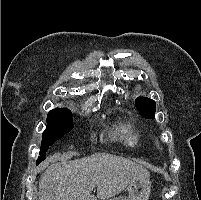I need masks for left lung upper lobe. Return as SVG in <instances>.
<instances>
[{
	"mask_svg": "<svg viewBox=\"0 0 201 200\" xmlns=\"http://www.w3.org/2000/svg\"><path fill=\"white\" fill-rule=\"evenodd\" d=\"M135 104L142 116L146 118H155L156 103L154 100L138 97L135 100Z\"/></svg>",
	"mask_w": 201,
	"mask_h": 200,
	"instance_id": "1",
	"label": "left lung upper lobe"
}]
</instances>
